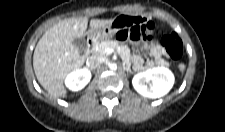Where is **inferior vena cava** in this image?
<instances>
[{
    "label": "inferior vena cava",
    "instance_id": "602c4592",
    "mask_svg": "<svg viewBox=\"0 0 225 132\" xmlns=\"http://www.w3.org/2000/svg\"><path fill=\"white\" fill-rule=\"evenodd\" d=\"M104 58L102 56H91V57H88L87 59V66L90 68V69H97L101 66V64L104 63Z\"/></svg>",
    "mask_w": 225,
    "mask_h": 132
}]
</instances>
